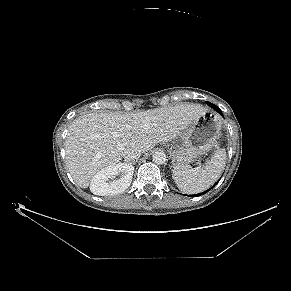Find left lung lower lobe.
<instances>
[{"label":"left lung lower lobe","instance_id":"1","mask_svg":"<svg viewBox=\"0 0 291 291\" xmlns=\"http://www.w3.org/2000/svg\"><path fill=\"white\" fill-rule=\"evenodd\" d=\"M212 108H214L218 113H220L222 115L221 110L216 105H213ZM199 195H201V194H199Z\"/></svg>","mask_w":291,"mask_h":291}]
</instances>
